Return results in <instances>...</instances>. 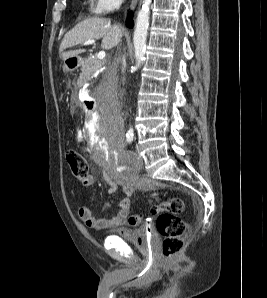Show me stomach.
<instances>
[{"instance_id":"0dacf381","label":"stomach","mask_w":267,"mask_h":298,"mask_svg":"<svg viewBox=\"0 0 267 298\" xmlns=\"http://www.w3.org/2000/svg\"><path fill=\"white\" fill-rule=\"evenodd\" d=\"M70 59H72V61H71L72 65L69 66L66 63L64 65V70L67 71V72L68 71H73L74 69H76L77 67H79L81 65V59L80 58L73 57V58H70Z\"/></svg>"}]
</instances>
